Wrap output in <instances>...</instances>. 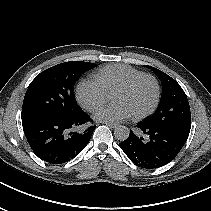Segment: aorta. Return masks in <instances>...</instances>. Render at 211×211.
<instances>
[{
  "label": "aorta",
  "instance_id": "aorta-1",
  "mask_svg": "<svg viewBox=\"0 0 211 211\" xmlns=\"http://www.w3.org/2000/svg\"><path fill=\"white\" fill-rule=\"evenodd\" d=\"M129 129L126 126H117L114 130V136L117 140L124 141L129 137Z\"/></svg>",
  "mask_w": 211,
  "mask_h": 211
}]
</instances>
